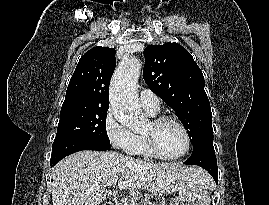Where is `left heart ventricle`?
I'll return each instance as SVG.
<instances>
[{"label":"left heart ventricle","mask_w":269,"mask_h":205,"mask_svg":"<svg viewBox=\"0 0 269 205\" xmlns=\"http://www.w3.org/2000/svg\"><path fill=\"white\" fill-rule=\"evenodd\" d=\"M152 131L149 123L142 133ZM156 144L160 152L167 156L181 154L186 148V138L183 131L175 124L167 122L155 131Z\"/></svg>","instance_id":"1"}]
</instances>
